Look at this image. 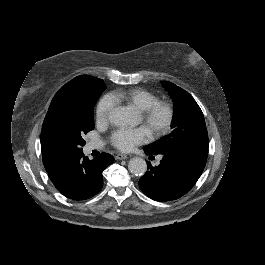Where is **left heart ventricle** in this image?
<instances>
[{
	"mask_svg": "<svg viewBox=\"0 0 265 265\" xmlns=\"http://www.w3.org/2000/svg\"><path fill=\"white\" fill-rule=\"evenodd\" d=\"M162 117L161 115H159L156 119H155V124H158L161 121ZM142 121L141 116H140V122Z\"/></svg>",
	"mask_w": 265,
	"mask_h": 265,
	"instance_id": "1",
	"label": "left heart ventricle"
}]
</instances>
